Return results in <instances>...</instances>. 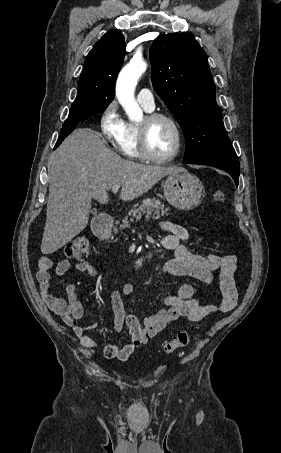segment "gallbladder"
Listing matches in <instances>:
<instances>
[{"label": "gallbladder", "mask_w": 281, "mask_h": 453, "mask_svg": "<svg viewBox=\"0 0 281 453\" xmlns=\"http://www.w3.org/2000/svg\"><path fill=\"white\" fill-rule=\"evenodd\" d=\"M92 212L93 214H95V212H98L97 208H92Z\"/></svg>", "instance_id": "obj_1"}]
</instances>
